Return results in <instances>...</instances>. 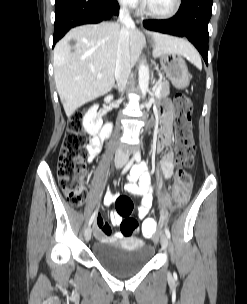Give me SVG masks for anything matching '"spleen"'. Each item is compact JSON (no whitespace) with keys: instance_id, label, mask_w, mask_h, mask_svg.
Returning a JSON list of instances; mask_svg holds the SVG:
<instances>
[{"instance_id":"obj_1","label":"spleen","mask_w":247,"mask_h":304,"mask_svg":"<svg viewBox=\"0 0 247 304\" xmlns=\"http://www.w3.org/2000/svg\"><path fill=\"white\" fill-rule=\"evenodd\" d=\"M189 60L198 68L202 67L201 59L198 55L192 56Z\"/></svg>"}]
</instances>
